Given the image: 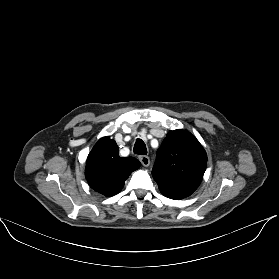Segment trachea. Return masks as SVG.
<instances>
[{"mask_svg":"<svg viewBox=\"0 0 279 279\" xmlns=\"http://www.w3.org/2000/svg\"><path fill=\"white\" fill-rule=\"evenodd\" d=\"M133 152L137 155H146L147 154L146 145L142 139L136 140V142L134 144Z\"/></svg>","mask_w":279,"mask_h":279,"instance_id":"obj_1","label":"trachea"}]
</instances>
